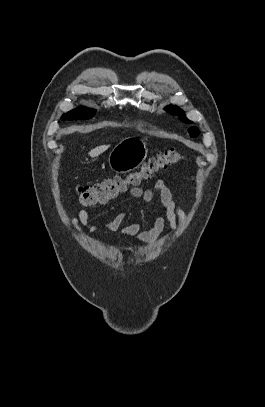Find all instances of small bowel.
I'll return each instance as SVG.
<instances>
[{"label": "small bowel", "instance_id": "small-bowel-1", "mask_svg": "<svg viewBox=\"0 0 265 407\" xmlns=\"http://www.w3.org/2000/svg\"><path fill=\"white\" fill-rule=\"evenodd\" d=\"M155 189L159 193L164 215L158 217L150 229H144L143 224L140 222L121 227L125 220L124 213L118 214L114 219L101 225L91 224L89 221V214L85 209L79 210L77 215L71 219V223L79 233L82 232L83 226L94 234L101 231L114 232L121 229L122 234L125 236L135 237L142 243H150L156 240L166 228L175 231L178 222H184L186 220L184 211L176 205L173 195L165 181L158 180L155 184ZM130 195L134 198H142L146 203L152 202L154 198V192L151 189L143 190L140 187H132L130 189ZM95 242L97 244H102V240L99 237L95 238Z\"/></svg>", "mask_w": 265, "mask_h": 407}]
</instances>
